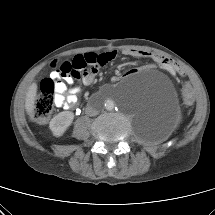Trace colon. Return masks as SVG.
Wrapping results in <instances>:
<instances>
[{
    "instance_id": "colon-1",
    "label": "colon",
    "mask_w": 215,
    "mask_h": 215,
    "mask_svg": "<svg viewBox=\"0 0 215 215\" xmlns=\"http://www.w3.org/2000/svg\"><path fill=\"white\" fill-rule=\"evenodd\" d=\"M52 66L54 67V71H56L60 76L70 75L75 78L79 77L81 70L84 68V64L79 57H74L73 60L66 61L59 67H57L55 63H53ZM169 68L176 69L172 62ZM56 80V77L50 76L43 79L40 84V91L35 97L32 108V117L39 123H45L52 114L55 102ZM181 87L185 91L189 90L188 93L184 94V102L186 104L195 103L198 93L196 90L191 89V81L188 79L183 80Z\"/></svg>"
}]
</instances>
